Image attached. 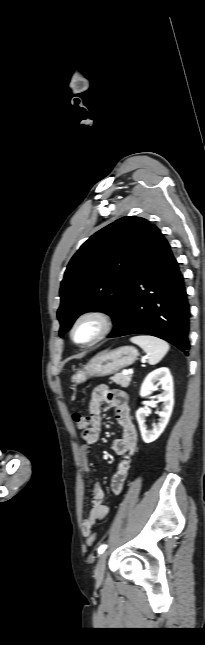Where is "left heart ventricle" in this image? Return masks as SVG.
Segmentation results:
<instances>
[{
  "mask_svg": "<svg viewBox=\"0 0 205 645\" xmlns=\"http://www.w3.org/2000/svg\"><path fill=\"white\" fill-rule=\"evenodd\" d=\"M98 330L99 326L95 321L86 320L77 327L75 337L78 341L85 342L92 339Z\"/></svg>",
  "mask_w": 205,
  "mask_h": 645,
  "instance_id": "b2bd125f",
  "label": "left heart ventricle"
}]
</instances>
